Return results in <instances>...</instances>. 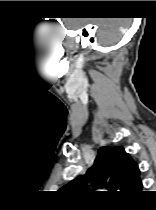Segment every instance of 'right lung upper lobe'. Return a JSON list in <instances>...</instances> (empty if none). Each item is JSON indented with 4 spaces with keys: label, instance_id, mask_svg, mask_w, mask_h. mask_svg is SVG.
Wrapping results in <instances>:
<instances>
[{
    "label": "right lung upper lobe",
    "instance_id": "obj_1",
    "mask_svg": "<svg viewBox=\"0 0 156 210\" xmlns=\"http://www.w3.org/2000/svg\"><path fill=\"white\" fill-rule=\"evenodd\" d=\"M142 187L138 164L123 147H101L94 165L86 174L64 188L86 193L107 191L118 198L133 199Z\"/></svg>",
    "mask_w": 156,
    "mask_h": 210
}]
</instances>
